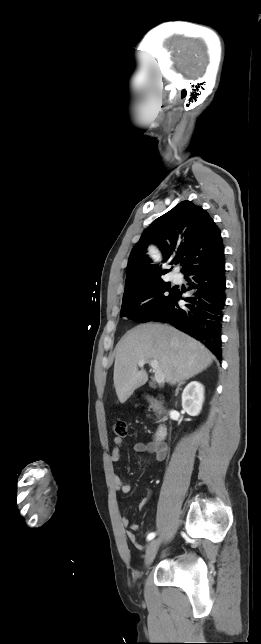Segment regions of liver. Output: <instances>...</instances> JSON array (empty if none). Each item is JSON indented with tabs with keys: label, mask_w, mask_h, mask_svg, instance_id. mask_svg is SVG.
<instances>
[{
	"label": "liver",
	"mask_w": 261,
	"mask_h": 644,
	"mask_svg": "<svg viewBox=\"0 0 261 644\" xmlns=\"http://www.w3.org/2000/svg\"><path fill=\"white\" fill-rule=\"evenodd\" d=\"M141 359L157 360L164 381L176 384L205 370L214 356L200 342L171 326L138 325L116 346L113 380L120 403L148 380L146 371L138 370Z\"/></svg>",
	"instance_id": "obj_1"
}]
</instances>
